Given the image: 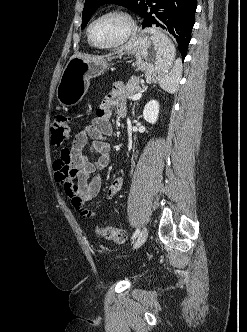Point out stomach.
Segmentation results:
<instances>
[{"instance_id":"1","label":"stomach","mask_w":247,"mask_h":332,"mask_svg":"<svg viewBox=\"0 0 247 332\" xmlns=\"http://www.w3.org/2000/svg\"><path fill=\"white\" fill-rule=\"evenodd\" d=\"M122 54H134L137 67L145 71L146 79L157 82L168 74L175 62V47L160 30L152 27L142 30L123 48ZM106 60L86 61L74 57L65 66L56 90L59 104L64 107L77 105L87 93L90 79L104 73Z\"/></svg>"}]
</instances>
